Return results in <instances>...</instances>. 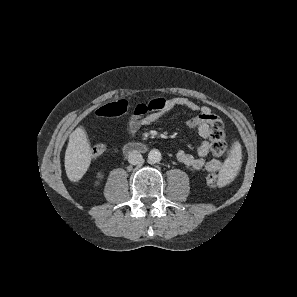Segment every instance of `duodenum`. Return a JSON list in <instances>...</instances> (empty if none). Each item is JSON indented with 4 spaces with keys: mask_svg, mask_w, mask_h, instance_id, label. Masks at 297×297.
I'll list each match as a JSON object with an SVG mask.
<instances>
[{
    "mask_svg": "<svg viewBox=\"0 0 297 297\" xmlns=\"http://www.w3.org/2000/svg\"><path fill=\"white\" fill-rule=\"evenodd\" d=\"M145 150V146L141 143L138 142H130L127 143L124 147H123V152L126 155H132L135 153H140L143 152Z\"/></svg>",
    "mask_w": 297,
    "mask_h": 297,
    "instance_id": "duodenum-1",
    "label": "duodenum"
}]
</instances>
